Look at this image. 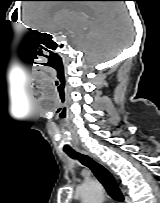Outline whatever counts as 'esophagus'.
Listing matches in <instances>:
<instances>
[{"instance_id":"obj_1","label":"esophagus","mask_w":160,"mask_h":203,"mask_svg":"<svg viewBox=\"0 0 160 203\" xmlns=\"http://www.w3.org/2000/svg\"><path fill=\"white\" fill-rule=\"evenodd\" d=\"M82 153L83 154H86V155H90L88 152H86V151H82ZM95 158V157H94ZM95 160H97L96 158H95ZM124 194H125V191H124Z\"/></svg>"}]
</instances>
